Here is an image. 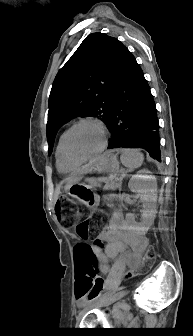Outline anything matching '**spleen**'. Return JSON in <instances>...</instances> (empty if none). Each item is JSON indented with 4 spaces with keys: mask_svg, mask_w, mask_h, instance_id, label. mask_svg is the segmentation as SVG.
<instances>
[{
    "mask_svg": "<svg viewBox=\"0 0 193 336\" xmlns=\"http://www.w3.org/2000/svg\"><path fill=\"white\" fill-rule=\"evenodd\" d=\"M121 162L124 166L134 169L142 165L144 156L137 150H123L121 154Z\"/></svg>",
    "mask_w": 193,
    "mask_h": 336,
    "instance_id": "3e777b00",
    "label": "spleen"
}]
</instances>
